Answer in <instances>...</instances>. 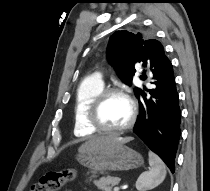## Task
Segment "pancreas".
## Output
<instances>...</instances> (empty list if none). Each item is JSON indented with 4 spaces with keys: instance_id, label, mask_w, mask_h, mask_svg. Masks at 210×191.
<instances>
[{
    "instance_id": "1",
    "label": "pancreas",
    "mask_w": 210,
    "mask_h": 191,
    "mask_svg": "<svg viewBox=\"0 0 210 191\" xmlns=\"http://www.w3.org/2000/svg\"><path fill=\"white\" fill-rule=\"evenodd\" d=\"M120 182V178L106 176L102 177L100 180H94V184L98 189L103 191H112V187L117 185Z\"/></svg>"
}]
</instances>
